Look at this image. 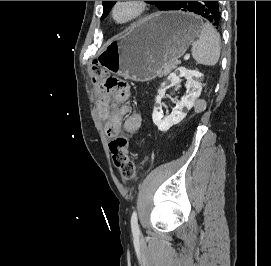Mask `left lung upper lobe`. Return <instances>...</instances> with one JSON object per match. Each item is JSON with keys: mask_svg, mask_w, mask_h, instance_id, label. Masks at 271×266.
Masks as SVG:
<instances>
[{"mask_svg": "<svg viewBox=\"0 0 271 266\" xmlns=\"http://www.w3.org/2000/svg\"><path fill=\"white\" fill-rule=\"evenodd\" d=\"M116 2L117 1H102L104 10L101 19L105 18L108 15L111 8ZM147 2H150L157 6L160 10H163L171 1H147Z\"/></svg>", "mask_w": 271, "mask_h": 266, "instance_id": "obj_1", "label": "left lung upper lobe"}]
</instances>
